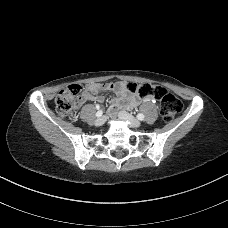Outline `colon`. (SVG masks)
<instances>
[{
  "mask_svg": "<svg viewBox=\"0 0 228 228\" xmlns=\"http://www.w3.org/2000/svg\"><path fill=\"white\" fill-rule=\"evenodd\" d=\"M127 90L141 98L154 97L161 100L160 113L165 121H171L181 111V101L172 94H166L159 87L148 83L127 84ZM83 92V87L79 84H73L61 90L55 98L56 111L61 117H68L72 114L77 99Z\"/></svg>",
  "mask_w": 228,
  "mask_h": 228,
  "instance_id": "colon-1",
  "label": "colon"
}]
</instances>
